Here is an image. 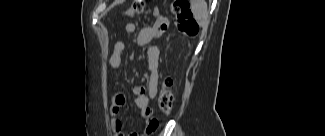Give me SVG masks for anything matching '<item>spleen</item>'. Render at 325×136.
Wrapping results in <instances>:
<instances>
[{
    "label": "spleen",
    "instance_id": "3e777b00",
    "mask_svg": "<svg viewBox=\"0 0 325 136\" xmlns=\"http://www.w3.org/2000/svg\"><path fill=\"white\" fill-rule=\"evenodd\" d=\"M195 18L202 23H206L208 19V13H207V4L204 0L200 1L199 8L193 9Z\"/></svg>",
    "mask_w": 325,
    "mask_h": 136
}]
</instances>
